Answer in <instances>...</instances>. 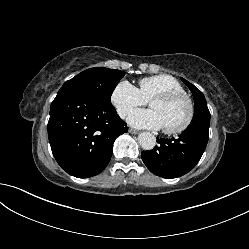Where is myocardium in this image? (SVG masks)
<instances>
[{
  "instance_id": "f54148a6",
  "label": "myocardium",
  "mask_w": 249,
  "mask_h": 249,
  "mask_svg": "<svg viewBox=\"0 0 249 249\" xmlns=\"http://www.w3.org/2000/svg\"><path fill=\"white\" fill-rule=\"evenodd\" d=\"M178 99L185 100L188 107V113L186 119L180 126L175 128L163 127V132L169 135L180 134L184 132L191 125L195 115V106L192 98L184 91H173V92L158 94L150 100L151 103L153 101L171 102Z\"/></svg>"
}]
</instances>
